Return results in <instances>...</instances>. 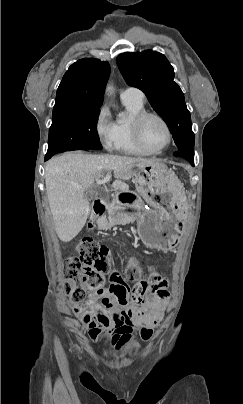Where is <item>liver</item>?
<instances>
[{"label":"liver","mask_w":243,"mask_h":404,"mask_svg":"<svg viewBox=\"0 0 243 404\" xmlns=\"http://www.w3.org/2000/svg\"><path fill=\"white\" fill-rule=\"evenodd\" d=\"M156 160L128 158V156H88V154H61L54 156L45 166V184L48 202L55 224V232L61 242H71L86 224L89 202L84 192L105 172L113 170L118 192H128L123 180L135 176L134 168L154 166Z\"/></svg>","instance_id":"obj_1"}]
</instances>
